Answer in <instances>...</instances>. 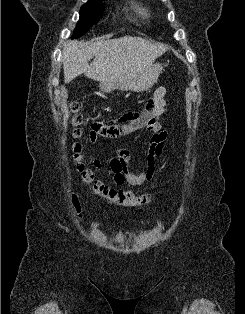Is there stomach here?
Here are the masks:
<instances>
[{
    "mask_svg": "<svg viewBox=\"0 0 245 314\" xmlns=\"http://www.w3.org/2000/svg\"><path fill=\"white\" fill-rule=\"evenodd\" d=\"M162 72V65L157 63L152 65L150 69L131 79L122 82L105 83L100 82L99 87L105 93H111L114 90L142 92L151 88L157 81Z\"/></svg>",
    "mask_w": 245,
    "mask_h": 314,
    "instance_id": "stomach-1",
    "label": "stomach"
}]
</instances>
